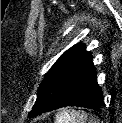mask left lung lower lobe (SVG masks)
<instances>
[{
    "label": "left lung lower lobe",
    "mask_w": 122,
    "mask_h": 123,
    "mask_svg": "<svg viewBox=\"0 0 122 123\" xmlns=\"http://www.w3.org/2000/svg\"><path fill=\"white\" fill-rule=\"evenodd\" d=\"M103 104V93L97 83L93 62L90 61L71 80L63 94L46 112L67 106H80L99 110Z\"/></svg>",
    "instance_id": "obj_1"
}]
</instances>
